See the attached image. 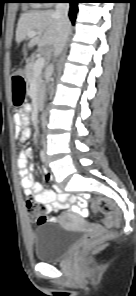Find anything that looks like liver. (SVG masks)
Here are the masks:
<instances>
[{
  "label": "liver",
  "mask_w": 136,
  "mask_h": 296,
  "mask_svg": "<svg viewBox=\"0 0 136 296\" xmlns=\"http://www.w3.org/2000/svg\"><path fill=\"white\" fill-rule=\"evenodd\" d=\"M61 29V21L53 10L29 11L23 13L16 29V41L20 44L26 39L27 33L36 31L38 34L31 37L28 48L36 44L40 47L54 46Z\"/></svg>",
  "instance_id": "1"
}]
</instances>
